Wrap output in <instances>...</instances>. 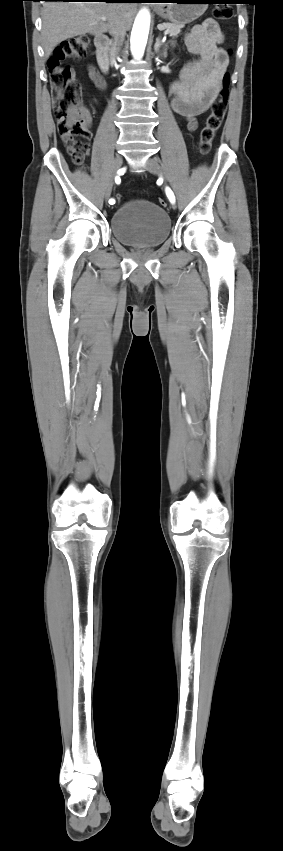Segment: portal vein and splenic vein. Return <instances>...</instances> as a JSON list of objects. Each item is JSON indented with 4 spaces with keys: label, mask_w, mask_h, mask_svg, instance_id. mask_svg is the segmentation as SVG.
Returning <instances> with one entry per match:
<instances>
[{
    "label": "portal vein and splenic vein",
    "mask_w": 283,
    "mask_h": 851,
    "mask_svg": "<svg viewBox=\"0 0 283 851\" xmlns=\"http://www.w3.org/2000/svg\"><path fill=\"white\" fill-rule=\"evenodd\" d=\"M100 19H101L102 21H105V20H106V17L102 16V17H100ZM164 34H165V35H166V34H168V31H165V32H164Z\"/></svg>",
    "instance_id": "obj_1"
}]
</instances>
